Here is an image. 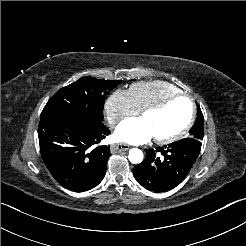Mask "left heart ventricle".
<instances>
[{
  "mask_svg": "<svg viewBox=\"0 0 246 246\" xmlns=\"http://www.w3.org/2000/svg\"><path fill=\"white\" fill-rule=\"evenodd\" d=\"M190 103L186 98L171 101L160 111L149 112L141 117L154 138L168 137L179 131L187 122Z\"/></svg>",
  "mask_w": 246,
  "mask_h": 246,
  "instance_id": "obj_1",
  "label": "left heart ventricle"
}]
</instances>
